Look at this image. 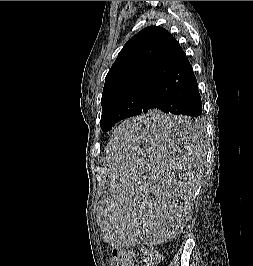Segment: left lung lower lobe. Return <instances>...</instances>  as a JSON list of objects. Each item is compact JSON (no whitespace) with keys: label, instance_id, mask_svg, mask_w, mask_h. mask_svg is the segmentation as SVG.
I'll return each instance as SVG.
<instances>
[{"label":"left lung lower lobe","instance_id":"1","mask_svg":"<svg viewBox=\"0 0 253 266\" xmlns=\"http://www.w3.org/2000/svg\"><path fill=\"white\" fill-rule=\"evenodd\" d=\"M159 109L165 113L197 118L202 102L196 77L184 51L175 38L163 54L147 88L141 113ZM149 121L144 129L168 139L198 134V124L191 118L170 122Z\"/></svg>","mask_w":253,"mask_h":266}]
</instances>
